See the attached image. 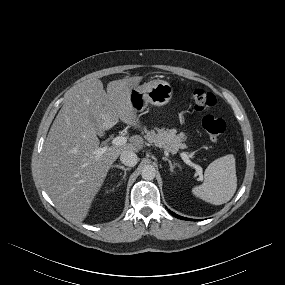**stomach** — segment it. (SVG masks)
<instances>
[{"label": "stomach", "instance_id": "0dacf381", "mask_svg": "<svg viewBox=\"0 0 285 285\" xmlns=\"http://www.w3.org/2000/svg\"><path fill=\"white\" fill-rule=\"evenodd\" d=\"M172 96V86L164 80L155 79L133 87L130 92V102L137 112H143L148 104L155 106L168 104Z\"/></svg>", "mask_w": 285, "mask_h": 285}]
</instances>
